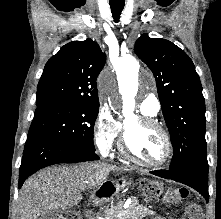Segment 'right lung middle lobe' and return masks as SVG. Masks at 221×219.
Wrapping results in <instances>:
<instances>
[{
    "label": "right lung middle lobe",
    "instance_id": "right-lung-middle-lobe-1",
    "mask_svg": "<svg viewBox=\"0 0 221 219\" xmlns=\"http://www.w3.org/2000/svg\"><path fill=\"white\" fill-rule=\"evenodd\" d=\"M28 137L44 135L74 147L95 151L93 128L99 104L68 101L38 103Z\"/></svg>",
    "mask_w": 221,
    "mask_h": 219
}]
</instances>
